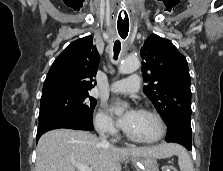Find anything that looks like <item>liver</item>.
Instances as JSON below:
<instances>
[{
    "label": "liver",
    "instance_id": "1",
    "mask_svg": "<svg viewBox=\"0 0 223 171\" xmlns=\"http://www.w3.org/2000/svg\"><path fill=\"white\" fill-rule=\"evenodd\" d=\"M175 144L153 147L117 148L103 144L95 135L81 130L56 129L45 133L38 141L35 171H76L83 164L93 171H121V162L130 157L152 156L169 158Z\"/></svg>",
    "mask_w": 223,
    "mask_h": 171
}]
</instances>
